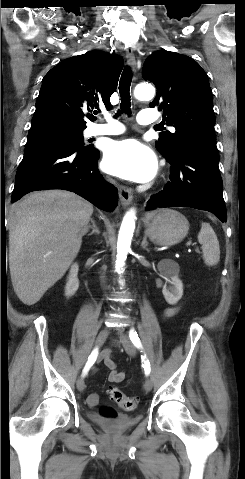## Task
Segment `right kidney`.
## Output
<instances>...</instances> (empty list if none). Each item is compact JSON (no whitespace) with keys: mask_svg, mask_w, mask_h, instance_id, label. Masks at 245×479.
Masks as SVG:
<instances>
[{"mask_svg":"<svg viewBox=\"0 0 245 479\" xmlns=\"http://www.w3.org/2000/svg\"><path fill=\"white\" fill-rule=\"evenodd\" d=\"M78 270V264L75 263L71 266L69 276L67 278V283L65 286V296L67 298L73 296L79 288V280L77 278Z\"/></svg>","mask_w":245,"mask_h":479,"instance_id":"obj_1","label":"right kidney"}]
</instances>
